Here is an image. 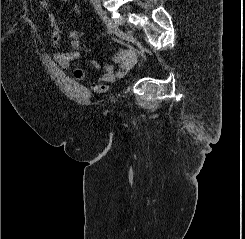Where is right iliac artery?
Returning a JSON list of instances; mask_svg holds the SVG:
<instances>
[{
	"label": "right iliac artery",
	"instance_id": "obj_1",
	"mask_svg": "<svg viewBox=\"0 0 245 239\" xmlns=\"http://www.w3.org/2000/svg\"><path fill=\"white\" fill-rule=\"evenodd\" d=\"M106 33H107L109 36L113 37V36H112V31H111L110 29L107 28V29H106Z\"/></svg>",
	"mask_w": 245,
	"mask_h": 239
}]
</instances>
